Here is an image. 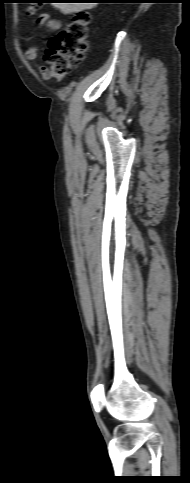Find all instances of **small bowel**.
Segmentation results:
<instances>
[{
  "instance_id": "c3829d8e",
  "label": "small bowel",
  "mask_w": 190,
  "mask_h": 483,
  "mask_svg": "<svg viewBox=\"0 0 190 483\" xmlns=\"http://www.w3.org/2000/svg\"><path fill=\"white\" fill-rule=\"evenodd\" d=\"M37 24L40 27H43L50 31H56L60 28V22L58 20L53 19L48 13L40 14L37 19ZM39 50H40V45L37 43H33L28 46V48L26 49L25 55L28 59L34 60L38 57ZM41 70L44 78H48V75L45 72V65H41Z\"/></svg>"
}]
</instances>
